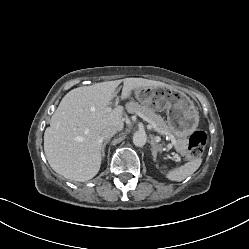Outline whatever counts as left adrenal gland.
<instances>
[{
    "mask_svg": "<svg viewBox=\"0 0 249 249\" xmlns=\"http://www.w3.org/2000/svg\"><path fill=\"white\" fill-rule=\"evenodd\" d=\"M151 146H152V156L153 160L156 161L157 153L159 151V146L155 143L154 138L151 136Z\"/></svg>",
    "mask_w": 249,
    "mask_h": 249,
    "instance_id": "1",
    "label": "left adrenal gland"
}]
</instances>
